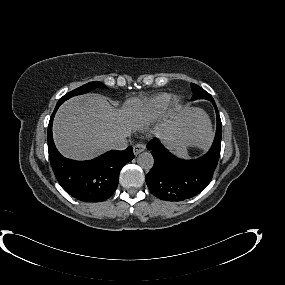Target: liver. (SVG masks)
I'll list each match as a JSON object with an SVG mask.
<instances>
[{
    "instance_id": "liver-1",
    "label": "liver",
    "mask_w": 285,
    "mask_h": 285,
    "mask_svg": "<svg viewBox=\"0 0 285 285\" xmlns=\"http://www.w3.org/2000/svg\"><path fill=\"white\" fill-rule=\"evenodd\" d=\"M140 100L129 99L122 109H115L105 97L88 94L71 98L61 105L53 124L56 147L65 157L76 160L94 158L109 150L116 136L130 135L144 119ZM202 111L185 107L169 125L177 145H196L207 139V129L200 124Z\"/></svg>"
}]
</instances>
